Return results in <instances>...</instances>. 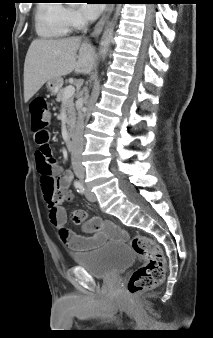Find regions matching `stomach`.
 Wrapping results in <instances>:
<instances>
[{
  "label": "stomach",
  "mask_w": 213,
  "mask_h": 338,
  "mask_svg": "<svg viewBox=\"0 0 213 338\" xmlns=\"http://www.w3.org/2000/svg\"><path fill=\"white\" fill-rule=\"evenodd\" d=\"M62 84H63V79L59 77V78H54V79L47 81L46 87L52 95H55L61 88Z\"/></svg>",
  "instance_id": "obj_1"
}]
</instances>
